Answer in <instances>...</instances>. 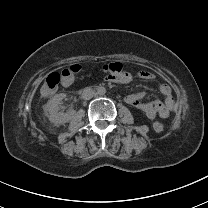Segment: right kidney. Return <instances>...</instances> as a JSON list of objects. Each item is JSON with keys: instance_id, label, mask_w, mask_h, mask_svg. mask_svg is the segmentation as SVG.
Here are the masks:
<instances>
[{"instance_id": "obj_1", "label": "right kidney", "mask_w": 208, "mask_h": 208, "mask_svg": "<svg viewBox=\"0 0 208 208\" xmlns=\"http://www.w3.org/2000/svg\"><path fill=\"white\" fill-rule=\"evenodd\" d=\"M66 98V94L64 93H60V94H56L53 98H51L46 106H45V110L48 113V118L49 120L56 124V125H60V124H64L68 121H70V116L63 113V112H59V104L60 102Z\"/></svg>"}]
</instances>
